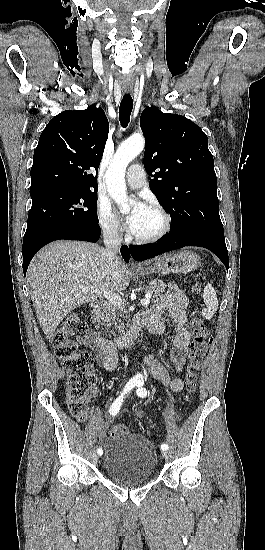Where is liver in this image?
<instances>
[{
    "mask_svg": "<svg viewBox=\"0 0 265 550\" xmlns=\"http://www.w3.org/2000/svg\"><path fill=\"white\" fill-rule=\"evenodd\" d=\"M27 280L40 326L51 339L61 321L77 307L103 292L125 290L129 272L119 257L109 265L104 249L97 244L60 240L37 253ZM82 286L89 291L83 292Z\"/></svg>",
    "mask_w": 265,
    "mask_h": 550,
    "instance_id": "liver-1",
    "label": "liver"
}]
</instances>
